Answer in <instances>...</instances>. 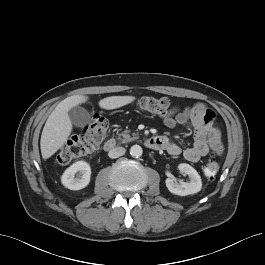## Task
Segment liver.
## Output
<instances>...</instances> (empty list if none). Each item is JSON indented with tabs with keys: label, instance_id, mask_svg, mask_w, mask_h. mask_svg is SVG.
<instances>
[{
	"label": "liver",
	"instance_id": "liver-1",
	"mask_svg": "<svg viewBox=\"0 0 265 265\" xmlns=\"http://www.w3.org/2000/svg\"><path fill=\"white\" fill-rule=\"evenodd\" d=\"M88 100L84 95H73L62 100L49 115L42 131L40 148L43 159L54 155L66 143L72 131L68 112L71 108ZM135 100L134 96H111L99 101V106L112 110L125 106Z\"/></svg>",
	"mask_w": 265,
	"mask_h": 265
}]
</instances>
